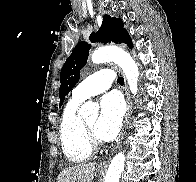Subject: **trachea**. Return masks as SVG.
Instances as JSON below:
<instances>
[{
	"label": "trachea",
	"instance_id": "3493384b",
	"mask_svg": "<svg viewBox=\"0 0 196 182\" xmlns=\"http://www.w3.org/2000/svg\"><path fill=\"white\" fill-rule=\"evenodd\" d=\"M118 83L120 84V85H123L124 84V78L123 77H118Z\"/></svg>",
	"mask_w": 196,
	"mask_h": 182
}]
</instances>
